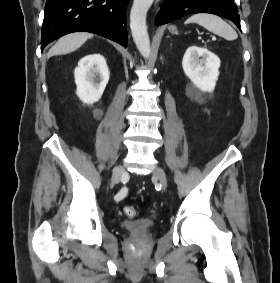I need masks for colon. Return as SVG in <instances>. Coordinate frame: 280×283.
<instances>
[{"label":"colon","mask_w":280,"mask_h":283,"mask_svg":"<svg viewBox=\"0 0 280 283\" xmlns=\"http://www.w3.org/2000/svg\"><path fill=\"white\" fill-rule=\"evenodd\" d=\"M124 214L129 218H134L136 216V210L133 207H125Z\"/></svg>","instance_id":"1"}]
</instances>
